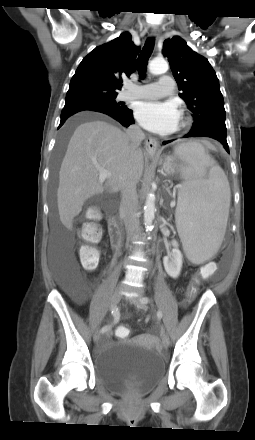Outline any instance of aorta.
Listing matches in <instances>:
<instances>
[{
    "mask_svg": "<svg viewBox=\"0 0 255 440\" xmlns=\"http://www.w3.org/2000/svg\"><path fill=\"white\" fill-rule=\"evenodd\" d=\"M168 68V63L164 59H153L149 64V70L154 75L163 74L167 72ZM155 211V195L148 193L144 206V225L146 231H150L153 228Z\"/></svg>",
    "mask_w": 255,
    "mask_h": 440,
    "instance_id": "aorta-1",
    "label": "aorta"
}]
</instances>
